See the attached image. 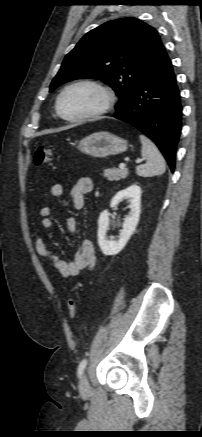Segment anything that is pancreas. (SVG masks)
Instances as JSON below:
<instances>
[{
	"label": "pancreas",
	"mask_w": 202,
	"mask_h": 437,
	"mask_svg": "<svg viewBox=\"0 0 202 437\" xmlns=\"http://www.w3.org/2000/svg\"><path fill=\"white\" fill-rule=\"evenodd\" d=\"M103 175L109 181H118L127 177L128 170L117 168L105 169Z\"/></svg>",
	"instance_id": "cf45deb5"
}]
</instances>
